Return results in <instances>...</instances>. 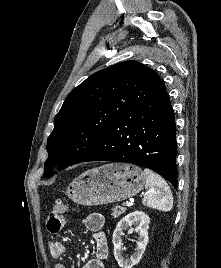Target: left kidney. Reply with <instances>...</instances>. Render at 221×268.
I'll list each match as a JSON object with an SVG mask.
<instances>
[{
	"label": "left kidney",
	"instance_id": "left-kidney-1",
	"mask_svg": "<svg viewBox=\"0 0 221 268\" xmlns=\"http://www.w3.org/2000/svg\"><path fill=\"white\" fill-rule=\"evenodd\" d=\"M149 223V216L142 211L129 213L118 222L116 229L113 232L112 242L114 245V257L121 268H132L142 258L148 243ZM132 225H134L135 228H132ZM128 228H130L128 233L137 232L139 237L136 241L135 252L131 255L130 259H125L122 253L121 236L123 235V230Z\"/></svg>",
	"mask_w": 221,
	"mask_h": 268
}]
</instances>
